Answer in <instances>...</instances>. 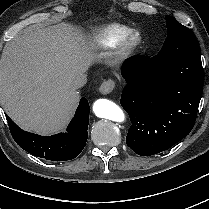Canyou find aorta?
I'll list each match as a JSON object with an SVG mask.
<instances>
[{
    "label": "aorta",
    "instance_id": "obj_1",
    "mask_svg": "<svg viewBox=\"0 0 209 209\" xmlns=\"http://www.w3.org/2000/svg\"><path fill=\"white\" fill-rule=\"evenodd\" d=\"M93 112L99 118L116 122H123L125 119L123 111L118 105L107 99H98L93 104Z\"/></svg>",
    "mask_w": 209,
    "mask_h": 209
}]
</instances>
